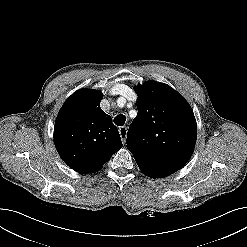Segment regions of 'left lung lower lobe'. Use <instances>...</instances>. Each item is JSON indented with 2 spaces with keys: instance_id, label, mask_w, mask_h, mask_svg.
<instances>
[{
  "instance_id": "left-lung-lower-lobe-1",
  "label": "left lung lower lobe",
  "mask_w": 247,
  "mask_h": 247,
  "mask_svg": "<svg viewBox=\"0 0 247 247\" xmlns=\"http://www.w3.org/2000/svg\"><path fill=\"white\" fill-rule=\"evenodd\" d=\"M140 170L143 174L146 176L152 177V178H162L169 176L170 174H173L177 170L170 169V168H162L154 165L147 164L142 161H136Z\"/></svg>"
}]
</instances>
